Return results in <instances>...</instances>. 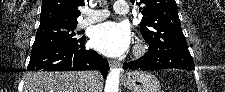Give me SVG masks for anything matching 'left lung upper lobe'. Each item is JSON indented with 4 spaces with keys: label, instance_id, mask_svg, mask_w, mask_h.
<instances>
[{
    "label": "left lung upper lobe",
    "instance_id": "5c2ea615",
    "mask_svg": "<svg viewBox=\"0 0 225 92\" xmlns=\"http://www.w3.org/2000/svg\"><path fill=\"white\" fill-rule=\"evenodd\" d=\"M142 5L140 32L145 41L155 49L185 48L187 43L181 30L175 0H131Z\"/></svg>",
    "mask_w": 225,
    "mask_h": 92
}]
</instances>
